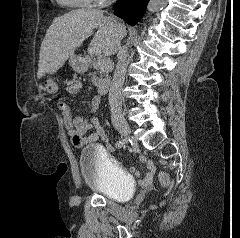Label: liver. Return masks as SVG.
I'll list each match as a JSON object with an SVG mask.
<instances>
[{
	"label": "liver",
	"instance_id": "1",
	"mask_svg": "<svg viewBox=\"0 0 240 238\" xmlns=\"http://www.w3.org/2000/svg\"><path fill=\"white\" fill-rule=\"evenodd\" d=\"M96 28L88 51L105 56L115 54L126 28L112 17H105L96 9H77L55 18L41 44L37 77L56 73Z\"/></svg>",
	"mask_w": 240,
	"mask_h": 238
}]
</instances>
